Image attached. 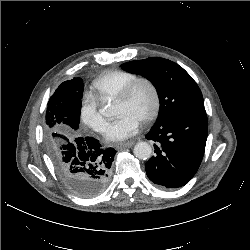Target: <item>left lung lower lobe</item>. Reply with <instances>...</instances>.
<instances>
[{
	"mask_svg": "<svg viewBox=\"0 0 250 250\" xmlns=\"http://www.w3.org/2000/svg\"><path fill=\"white\" fill-rule=\"evenodd\" d=\"M207 134L205 108L188 110L155 123L145 136L156 143V155L145 164L148 178L167 189L186 185L201 164Z\"/></svg>",
	"mask_w": 250,
	"mask_h": 250,
	"instance_id": "1",
	"label": "left lung lower lobe"
}]
</instances>
